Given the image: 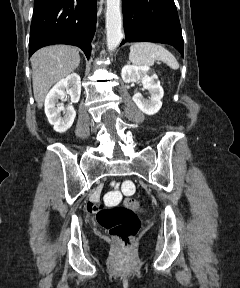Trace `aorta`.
I'll return each mask as SVG.
<instances>
[{
	"label": "aorta",
	"mask_w": 240,
	"mask_h": 288,
	"mask_svg": "<svg viewBox=\"0 0 240 288\" xmlns=\"http://www.w3.org/2000/svg\"><path fill=\"white\" fill-rule=\"evenodd\" d=\"M120 5L121 0H106V36L109 51L115 50L123 38Z\"/></svg>",
	"instance_id": "aorta-1"
}]
</instances>
